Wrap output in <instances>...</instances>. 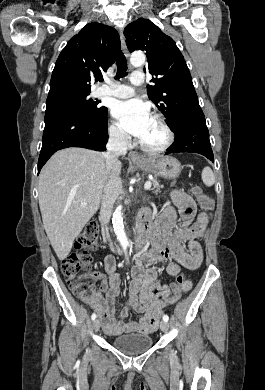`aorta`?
I'll return each mask as SVG.
<instances>
[{
    "label": "aorta",
    "mask_w": 265,
    "mask_h": 390,
    "mask_svg": "<svg viewBox=\"0 0 265 390\" xmlns=\"http://www.w3.org/2000/svg\"><path fill=\"white\" fill-rule=\"evenodd\" d=\"M130 63L134 67L142 66L145 63V55L141 52L133 53L130 58ZM112 224L114 233L119 243L123 247L129 246V241L124 229L122 206H118L115 209V212L113 213L112 217Z\"/></svg>",
    "instance_id": "aorta-1"
}]
</instances>
